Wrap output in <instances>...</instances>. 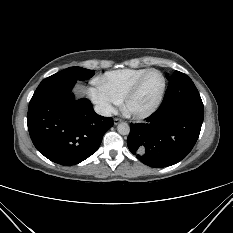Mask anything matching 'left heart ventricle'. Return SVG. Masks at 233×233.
<instances>
[{
	"mask_svg": "<svg viewBox=\"0 0 233 233\" xmlns=\"http://www.w3.org/2000/svg\"><path fill=\"white\" fill-rule=\"evenodd\" d=\"M162 88V77L157 72L150 73L143 81L140 90L131 100L130 107L143 111L154 104Z\"/></svg>",
	"mask_w": 233,
	"mask_h": 233,
	"instance_id": "obj_1",
	"label": "left heart ventricle"
}]
</instances>
